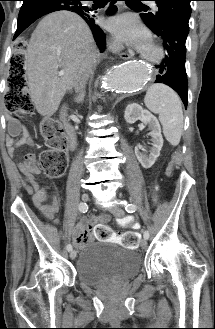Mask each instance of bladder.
Here are the masks:
<instances>
[{"label": "bladder", "instance_id": "obj_1", "mask_svg": "<svg viewBox=\"0 0 215 329\" xmlns=\"http://www.w3.org/2000/svg\"><path fill=\"white\" fill-rule=\"evenodd\" d=\"M75 270L77 279L88 286L128 280L140 272V256L132 249L99 240L82 249Z\"/></svg>", "mask_w": 215, "mask_h": 329}]
</instances>
